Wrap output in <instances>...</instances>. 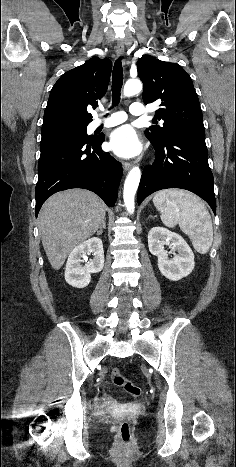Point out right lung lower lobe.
<instances>
[{"mask_svg": "<svg viewBox=\"0 0 236 467\" xmlns=\"http://www.w3.org/2000/svg\"><path fill=\"white\" fill-rule=\"evenodd\" d=\"M105 137L65 138L41 144L35 215L54 193L70 188L95 192L113 207L123 174L121 164L101 149Z\"/></svg>", "mask_w": 236, "mask_h": 467, "instance_id": "98d812e1", "label": "right lung lower lobe"}]
</instances>
